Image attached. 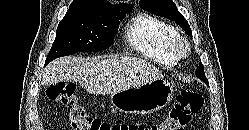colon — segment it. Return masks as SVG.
<instances>
[{
  "instance_id": "colon-1",
  "label": "colon",
  "mask_w": 249,
  "mask_h": 130,
  "mask_svg": "<svg viewBox=\"0 0 249 130\" xmlns=\"http://www.w3.org/2000/svg\"><path fill=\"white\" fill-rule=\"evenodd\" d=\"M48 98L68 110L69 122L73 130H184L194 114L203 106V97L191 89L182 90L167 116L150 126L136 123H109L90 116L79 104L76 87L72 83H58L47 89Z\"/></svg>"
}]
</instances>
